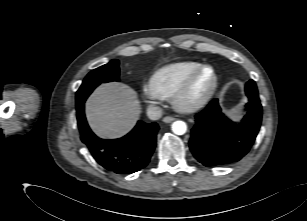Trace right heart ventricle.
<instances>
[{
    "instance_id": "right-heart-ventricle-1",
    "label": "right heart ventricle",
    "mask_w": 307,
    "mask_h": 221,
    "mask_svg": "<svg viewBox=\"0 0 307 221\" xmlns=\"http://www.w3.org/2000/svg\"><path fill=\"white\" fill-rule=\"evenodd\" d=\"M203 65L201 62L183 61L159 68L149 77L146 90L153 97L170 98Z\"/></svg>"
}]
</instances>
